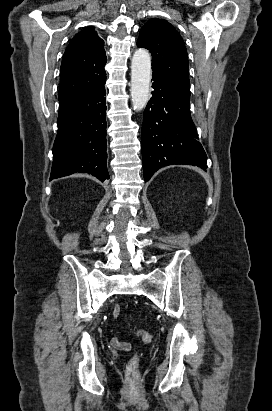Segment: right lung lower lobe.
I'll use <instances>...</instances> for the list:
<instances>
[{"instance_id": "1", "label": "right lung lower lobe", "mask_w": 272, "mask_h": 411, "mask_svg": "<svg viewBox=\"0 0 272 411\" xmlns=\"http://www.w3.org/2000/svg\"><path fill=\"white\" fill-rule=\"evenodd\" d=\"M105 82L60 101L50 180L76 172L92 174L102 182L109 179Z\"/></svg>"}]
</instances>
